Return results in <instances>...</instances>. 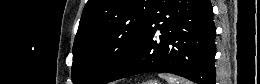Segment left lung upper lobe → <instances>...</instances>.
Segmentation results:
<instances>
[{"instance_id":"5c2ea615","label":"left lung upper lobe","mask_w":260,"mask_h":84,"mask_svg":"<svg viewBox=\"0 0 260 84\" xmlns=\"http://www.w3.org/2000/svg\"><path fill=\"white\" fill-rule=\"evenodd\" d=\"M156 0H88L73 46L74 84H107L133 52Z\"/></svg>"}]
</instances>
